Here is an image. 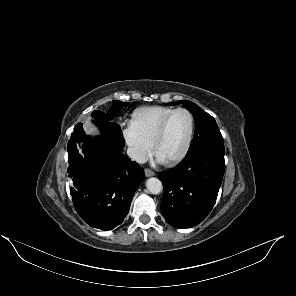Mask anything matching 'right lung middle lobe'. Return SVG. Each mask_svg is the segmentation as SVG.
I'll list each match as a JSON object with an SVG mask.
<instances>
[{
	"label": "right lung middle lobe",
	"instance_id": "1",
	"mask_svg": "<svg viewBox=\"0 0 296 296\" xmlns=\"http://www.w3.org/2000/svg\"><path fill=\"white\" fill-rule=\"evenodd\" d=\"M128 102H121V101H113V105L111 109L107 112H101L99 110H96L92 113V117L95 120H100V121H109L114 118V115L124 106H126Z\"/></svg>",
	"mask_w": 296,
	"mask_h": 296
}]
</instances>
